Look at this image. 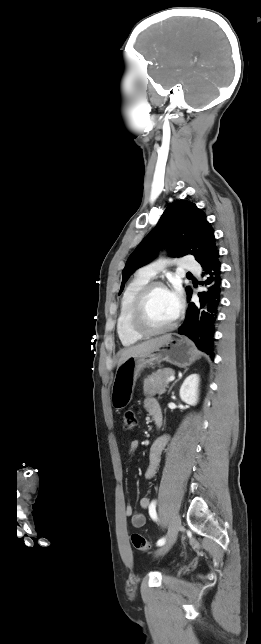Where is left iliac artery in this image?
Masks as SVG:
<instances>
[{
	"instance_id": "1",
	"label": "left iliac artery",
	"mask_w": 261,
	"mask_h": 644,
	"mask_svg": "<svg viewBox=\"0 0 261 644\" xmlns=\"http://www.w3.org/2000/svg\"><path fill=\"white\" fill-rule=\"evenodd\" d=\"M149 514H150L151 518L154 521H157L156 500H153L151 502L150 507H149ZM165 542H166V539L163 537V538L159 539L156 544H157V546H162V545L165 544Z\"/></svg>"
}]
</instances>
